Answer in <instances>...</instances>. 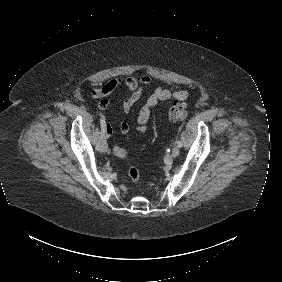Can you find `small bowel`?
Returning a JSON list of instances; mask_svg holds the SVG:
<instances>
[{
	"label": "small bowel",
	"instance_id": "obj_1",
	"mask_svg": "<svg viewBox=\"0 0 282 282\" xmlns=\"http://www.w3.org/2000/svg\"><path fill=\"white\" fill-rule=\"evenodd\" d=\"M153 78L149 74L137 76L118 77L109 80L101 88L92 90L90 96L99 99L98 108L105 110L110 106L108 96L115 91L119 86H125L130 95L122 103V111L125 115L129 114L135 103L140 99L143 93V88L152 82ZM188 93L184 90H176L173 87L158 86L147 97L144 104L141 106L136 117V130L145 132L147 130V122L150 118L152 110L162 102H172L173 105L181 104L187 99ZM117 124L120 133L126 135L130 131V125L126 121H118L115 123H106L104 131L106 134H111L113 125Z\"/></svg>",
	"mask_w": 282,
	"mask_h": 282
}]
</instances>
